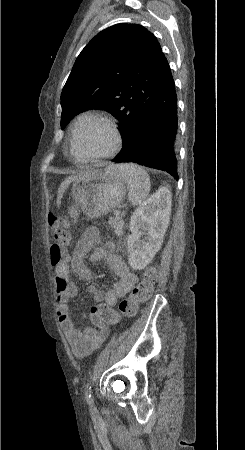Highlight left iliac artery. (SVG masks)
<instances>
[{"label": "left iliac artery", "mask_w": 245, "mask_h": 450, "mask_svg": "<svg viewBox=\"0 0 245 450\" xmlns=\"http://www.w3.org/2000/svg\"><path fill=\"white\" fill-rule=\"evenodd\" d=\"M86 400L89 404L93 403V398L91 396V382L86 385Z\"/></svg>", "instance_id": "obj_1"}]
</instances>
